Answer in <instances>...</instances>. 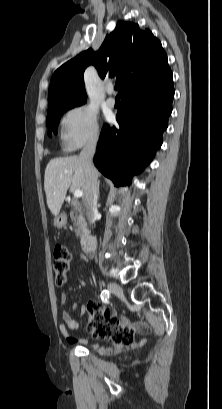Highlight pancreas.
<instances>
[{"instance_id": "pancreas-1", "label": "pancreas", "mask_w": 222, "mask_h": 409, "mask_svg": "<svg viewBox=\"0 0 222 409\" xmlns=\"http://www.w3.org/2000/svg\"><path fill=\"white\" fill-rule=\"evenodd\" d=\"M71 206L72 210L70 212V217L75 226V233L77 236L84 238V236L87 234V223L84 218L82 205L77 199H73Z\"/></svg>"}]
</instances>
